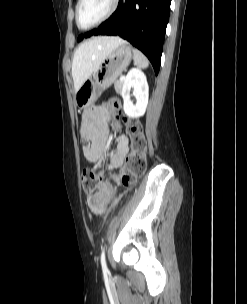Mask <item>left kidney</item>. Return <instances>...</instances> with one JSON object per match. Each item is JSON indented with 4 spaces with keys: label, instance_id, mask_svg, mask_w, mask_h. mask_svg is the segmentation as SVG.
<instances>
[{
    "label": "left kidney",
    "instance_id": "1",
    "mask_svg": "<svg viewBox=\"0 0 247 304\" xmlns=\"http://www.w3.org/2000/svg\"><path fill=\"white\" fill-rule=\"evenodd\" d=\"M131 88L134 89L133 95L136 98V104H133L130 99ZM148 91L145 74L140 69H131L124 80L121 92L124 100L123 109L127 116L137 118L145 114L148 104Z\"/></svg>",
    "mask_w": 247,
    "mask_h": 304
}]
</instances>
